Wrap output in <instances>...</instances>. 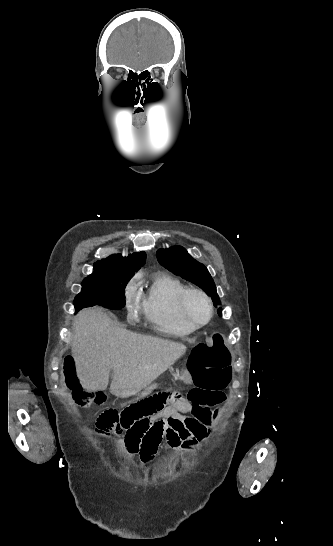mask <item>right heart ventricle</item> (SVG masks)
<instances>
[{
  "instance_id": "e07e8e85",
  "label": "right heart ventricle",
  "mask_w": 333,
  "mask_h": 546,
  "mask_svg": "<svg viewBox=\"0 0 333 546\" xmlns=\"http://www.w3.org/2000/svg\"><path fill=\"white\" fill-rule=\"evenodd\" d=\"M187 289L180 280L167 275H155L141 296L145 319L161 332L174 337H187L196 329L188 325L179 310V298Z\"/></svg>"
}]
</instances>
